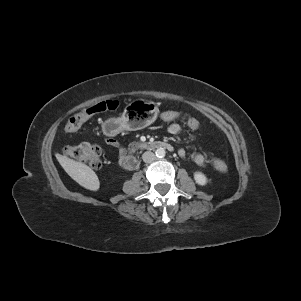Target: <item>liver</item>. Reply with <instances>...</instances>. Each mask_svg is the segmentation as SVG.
Wrapping results in <instances>:
<instances>
[{
    "instance_id": "liver-1",
    "label": "liver",
    "mask_w": 301,
    "mask_h": 301,
    "mask_svg": "<svg viewBox=\"0 0 301 301\" xmlns=\"http://www.w3.org/2000/svg\"><path fill=\"white\" fill-rule=\"evenodd\" d=\"M56 158L66 173L78 184L92 191L99 189V179L89 166L58 153L56 154Z\"/></svg>"
}]
</instances>
